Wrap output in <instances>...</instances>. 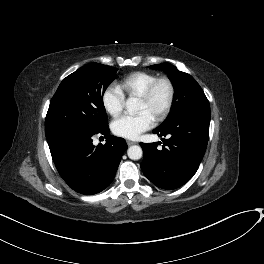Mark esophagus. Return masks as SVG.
<instances>
[{
  "mask_svg": "<svg viewBox=\"0 0 264 264\" xmlns=\"http://www.w3.org/2000/svg\"><path fill=\"white\" fill-rule=\"evenodd\" d=\"M127 144H128V146H131V145L135 144V142L131 141V140H127Z\"/></svg>",
  "mask_w": 264,
  "mask_h": 264,
  "instance_id": "34e87169",
  "label": "esophagus"
}]
</instances>
